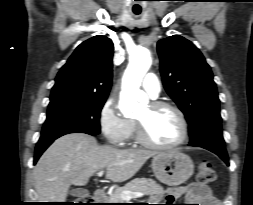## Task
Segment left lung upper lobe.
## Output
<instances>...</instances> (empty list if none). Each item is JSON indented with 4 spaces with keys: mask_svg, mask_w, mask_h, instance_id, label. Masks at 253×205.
Wrapping results in <instances>:
<instances>
[{
    "mask_svg": "<svg viewBox=\"0 0 253 205\" xmlns=\"http://www.w3.org/2000/svg\"><path fill=\"white\" fill-rule=\"evenodd\" d=\"M157 50L164 87L189 123V145L225 147L216 84L202 53L179 35L160 40Z\"/></svg>",
    "mask_w": 253,
    "mask_h": 205,
    "instance_id": "obj_1",
    "label": "left lung upper lobe"
}]
</instances>
